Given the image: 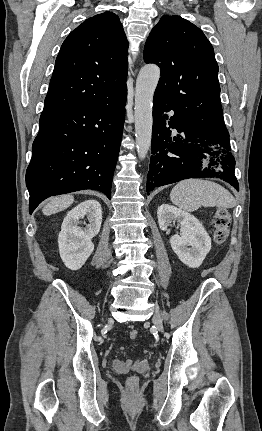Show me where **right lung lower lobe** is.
<instances>
[{
    "label": "right lung lower lobe",
    "instance_id": "obj_1",
    "mask_svg": "<svg viewBox=\"0 0 262 431\" xmlns=\"http://www.w3.org/2000/svg\"><path fill=\"white\" fill-rule=\"evenodd\" d=\"M126 91L97 105L44 107L26 172L30 214L49 196L83 189L111 199Z\"/></svg>",
    "mask_w": 262,
    "mask_h": 431
}]
</instances>
